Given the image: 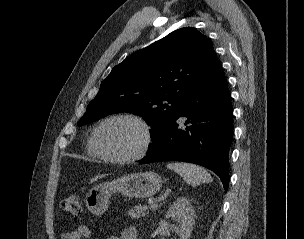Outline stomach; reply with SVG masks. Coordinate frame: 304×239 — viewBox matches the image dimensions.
<instances>
[{
	"mask_svg": "<svg viewBox=\"0 0 304 239\" xmlns=\"http://www.w3.org/2000/svg\"><path fill=\"white\" fill-rule=\"evenodd\" d=\"M162 182L161 176L153 171L124 175L93 187L86 194L85 203L88 210L98 216L108 208L112 194L119 192L131 198H146L159 191Z\"/></svg>",
	"mask_w": 304,
	"mask_h": 239,
	"instance_id": "0dacf381",
	"label": "stomach"
}]
</instances>
